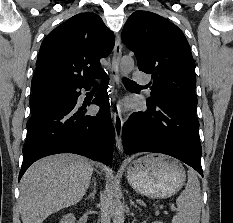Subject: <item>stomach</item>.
I'll return each mask as SVG.
<instances>
[{
	"label": "stomach",
	"instance_id": "obj_1",
	"mask_svg": "<svg viewBox=\"0 0 233 223\" xmlns=\"http://www.w3.org/2000/svg\"><path fill=\"white\" fill-rule=\"evenodd\" d=\"M127 179L137 193L164 199L175 195L185 185L186 173L176 159L163 153H146L129 163Z\"/></svg>",
	"mask_w": 233,
	"mask_h": 223
}]
</instances>
